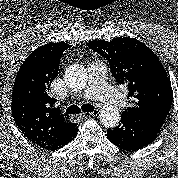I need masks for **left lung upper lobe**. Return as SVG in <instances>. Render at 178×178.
<instances>
[{
  "label": "left lung upper lobe",
  "mask_w": 178,
  "mask_h": 178,
  "mask_svg": "<svg viewBox=\"0 0 178 178\" xmlns=\"http://www.w3.org/2000/svg\"><path fill=\"white\" fill-rule=\"evenodd\" d=\"M87 46L103 56L116 81L128 87L132 106L122 114L167 118L173 101L171 82L149 47L126 37L110 42L93 40Z\"/></svg>",
  "instance_id": "5c2ea615"
}]
</instances>
